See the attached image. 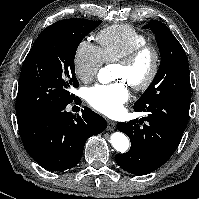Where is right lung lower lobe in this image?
Segmentation results:
<instances>
[{
	"mask_svg": "<svg viewBox=\"0 0 199 199\" xmlns=\"http://www.w3.org/2000/svg\"><path fill=\"white\" fill-rule=\"evenodd\" d=\"M65 107L41 113L19 125V133L28 154L43 168L63 171L80 161L86 140L106 128V120L84 107L81 115Z\"/></svg>",
	"mask_w": 199,
	"mask_h": 199,
	"instance_id": "98d812e1",
	"label": "right lung lower lobe"
}]
</instances>
